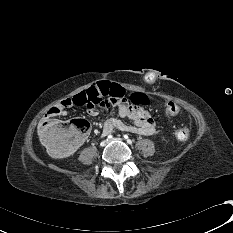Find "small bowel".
<instances>
[{
  "label": "small bowel",
  "instance_id": "obj_1",
  "mask_svg": "<svg viewBox=\"0 0 233 233\" xmlns=\"http://www.w3.org/2000/svg\"><path fill=\"white\" fill-rule=\"evenodd\" d=\"M96 84L93 86L95 87ZM114 94H108L100 99L96 109L99 112L107 113L110 109H117L120 118L109 117L103 125L105 133L115 130L139 134L143 136H154L157 129L154 125L150 113L140 103L141 97H135L137 101H132L126 96L125 90L121 97L115 100ZM75 106L71 98L64 99L59 105L52 107L46 113L44 122L55 116H66L68 109ZM93 112V111H92ZM122 119H130L132 124H127Z\"/></svg>",
  "mask_w": 233,
  "mask_h": 233
}]
</instances>
